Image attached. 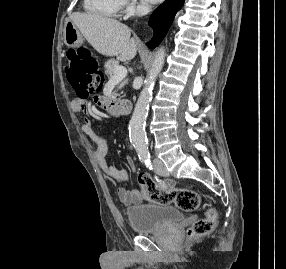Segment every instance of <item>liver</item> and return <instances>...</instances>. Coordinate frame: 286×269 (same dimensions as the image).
I'll return each instance as SVG.
<instances>
[{
    "label": "liver",
    "instance_id": "obj_1",
    "mask_svg": "<svg viewBox=\"0 0 286 269\" xmlns=\"http://www.w3.org/2000/svg\"><path fill=\"white\" fill-rule=\"evenodd\" d=\"M70 21L80 30L94 49L107 57L117 56L120 61L132 60L138 50V41L130 38L128 26L95 13L75 12Z\"/></svg>",
    "mask_w": 286,
    "mask_h": 269
}]
</instances>
